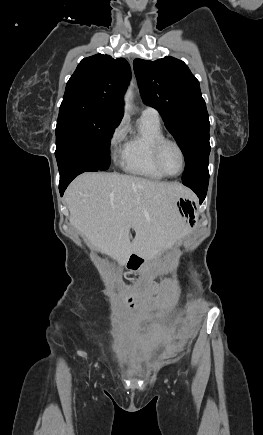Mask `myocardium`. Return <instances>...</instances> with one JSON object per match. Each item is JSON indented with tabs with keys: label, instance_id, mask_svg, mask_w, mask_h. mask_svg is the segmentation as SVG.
<instances>
[{
	"label": "myocardium",
	"instance_id": "f54148a6",
	"mask_svg": "<svg viewBox=\"0 0 263 435\" xmlns=\"http://www.w3.org/2000/svg\"><path fill=\"white\" fill-rule=\"evenodd\" d=\"M167 144L174 145L178 149V151L181 155L182 167H181L180 172L177 174H169L164 169V167L161 163V153H162L164 146ZM153 161H154L156 168L166 177H172V178L178 177L181 174H183V172L185 171V168H186V155H185L184 149L178 141L171 139V138L164 137L156 142V144L153 148Z\"/></svg>",
	"mask_w": 263,
	"mask_h": 435
}]
</instances>
